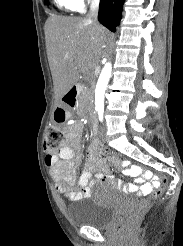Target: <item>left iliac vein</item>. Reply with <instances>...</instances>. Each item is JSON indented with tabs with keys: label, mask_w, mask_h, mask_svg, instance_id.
I'll return each instance as SVG.
<instances>
[{
	"label": "left iliac vein",
	"mask_w": 183,
	"mask_h": 246,
	"mask_svg": "<svg viewBox=\"0 0 183 246\" xmlns=\"http://www.w3.org/2000/svg\"><path fill=\"white\" fill-rule=\"evenodd\" d=\"M106 131H107V129H106V126L104 125V126L102 127L101 131H100V136H101V138H102L104 141L106 140Z\"/></svg>",
	"instance_id": "obj_1"
}]
</instances>
